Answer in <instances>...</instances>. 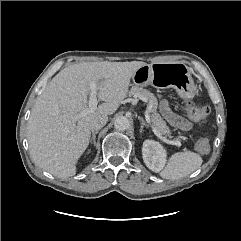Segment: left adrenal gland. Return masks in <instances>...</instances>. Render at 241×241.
<instances>
[{
    "label": "left adrenal gland",
    "mask_w": 241,
    "mask_h": 241,
    "mask_svg": "<svg viewBox=\"0 0 241 241\" xmlns=\"http://www.w3.org/2000/svg\"><path fill=\"white\" fill-rule=\"evenodd\" d=\"M138 119L141 121L140 133H142L144 127L148 128V124L144 121L143 118L138 117Z\"/></svg>",
    "instance_id": "obj_1"
}]
</instances>
